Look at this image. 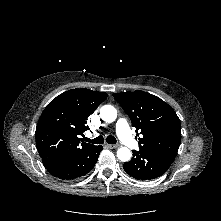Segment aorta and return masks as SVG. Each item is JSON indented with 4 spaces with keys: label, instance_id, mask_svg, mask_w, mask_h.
<instances>
[{
    "label": "aorta",
    "instance_id": "obj_1",
    "mask_svg": "<svg viewBox=\"0 0 221 221\" xmlns=\"http://www.w3.org/2000/svg\"><path fill=\"white\" fill-rule=\"evenodd\" d=\"M100 117L107 123L114 122L117 118V110L112 105H104L100 108ZM117 157L123 162H127L131 158V151L126 147L117 150Z\"/></svg>",
    "mask_w": 221,
    "mask_h": 221
}]
</instances>
